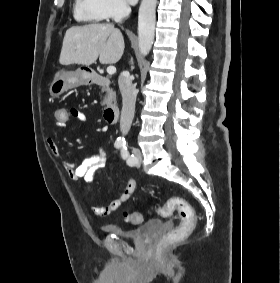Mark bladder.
I'll use <instances>...</instances> for the list:
<instances>
[{
  "instance_id": "1",
  "label": "bladder",
  "mask_w": 280,
  "mask_h": 283,
  "mask_svg": "<svg viewBox=\"0 0 280 283\" xmlns=\"http://www.w3.org/2000/svg\"><path fill=\"white\" fill-rule=\"evenodd\" d=\"M163 226V220L151 219L144 224L131 229H126L123 226L117 224H109L103 226L102 230L106 234L115 235L117 237L134 242H141L145 238L160 230Z\"/></svg>"
}]
</instances>
